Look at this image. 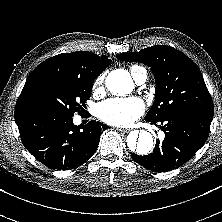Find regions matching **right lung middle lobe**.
Here are the masks:
<instances>
[{"instance_id": "obj_1", "label": "right lung middle lobe", "mask_w": 222, "mask_h": 222, "mask_svg": "<svg viewBox=\"0 0 222 222\" xmlns=\"http://www.w3.org/2000/svg\"><path fill=\"white\" fill-rule=\"evenodd\" d=\"M94 80L78 77H54L47 79L26 94L25 108L46 109L73 117L84 111L85 102L90 98Z\"/></svg>"}]
</instances>
